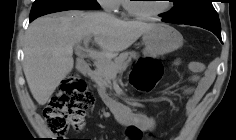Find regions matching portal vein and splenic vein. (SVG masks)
<instances>
[{
  "instance_id": "1",
  "label": "portal vein and splenic vein",
  "mask_w": 236,
  "mask_h": 140,
  "mask_svg": "<svg viewBox=\"0 0 236 140\" xmlns=\"http://www.w3.org/2000/svg\"><path fill=\"white\" fill-rule=\"evenodd\" d=\"M89 40H90V37H87L84 39L85 48H87ZM77 47H79V46H77ZM85 51H86L88 57H90L93 60H96L97 62H105L106 60H108L102 53H99L97 51L88 50V49H85Z\"/></svg>"
}]
</instances>
